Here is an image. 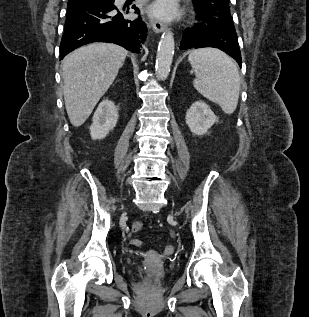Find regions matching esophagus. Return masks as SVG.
I'll use <instances>...</instances> for the list:
<instances>
[{
	"label": "esophagus",
	"mask_w": 309,
	"mask_h": 317,
	"mask_svg": "<svg viewBox=\"0 0 309 317\" xmlns=\"http://www.w3.org/2000/svg\"><path fill=\"white\" fill-rule=\"evenodd\" d=\"M150 26L155 32H162L167 28V25L164 22L154 17H150Z\"/></svg>",
	"instance_id": "obj_1"
}]
</instances>
